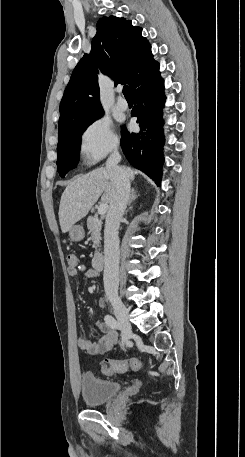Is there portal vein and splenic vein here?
I'll use <instances>...</instances> for the list:
<instances>
[{
	"label": "portal vein and splenic vein",
	"mask_w": 245,
	"mask_h": 457,
	"mask_svg": "<svg viewBox=\"0 0 245 457\" xmlns=\"http://www.w3.org/2000/svg\"><path fill=\"white\" fill-rule=\"evenodd\" d=\"M79 204H81V202H79ZM107 210H108L107 202H102V204H99L98 214H105V212H107Z\"/></svg>",
	"instance_id": "obj_1"
}]
</instances>
